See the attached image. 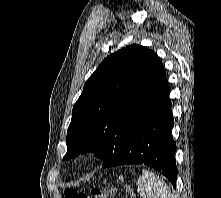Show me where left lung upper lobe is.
I'll list each match as a JSON object with an SVG mask.
<instances>
[{
	"label": "left lung upper lobe",
	"mask_w": 221,
	"mask_h": 198,
	"mask_svg": "<svg viewBox=\"0 0 221 198\" xmlns=\"http://www.w3.org/2000/svg\"><path fill=\"white\" fill-rule=\"evenodd\" d=\"M167 88L161 61L146 47L127 46L105 58L73 107L64 159L86 152L109 158L155 108Z\"/></svg>",
	"instance_id": "left-lung-upper-lobe-1"
}]
</instances>
